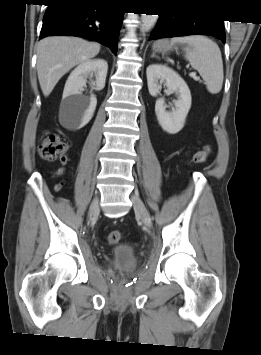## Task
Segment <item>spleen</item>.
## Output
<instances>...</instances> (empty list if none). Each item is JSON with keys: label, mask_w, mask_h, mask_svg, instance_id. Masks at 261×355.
Masks as SVG:
<instances>
[{"label": "spleen", "mask_w": 261, "mask_h": 355, "mask_svg": "<svg viewBox=\"0 0 261 355\" xmlns=\"http://www.w3.org/2000/svg\"><path fill=\"white\" fill-rule=\"evenodd\" d=\"M171 43H187L190 48L185 52V59L197 70L204 80L207 90L217 94L223 84V61L218 45L211 39L201 36L174 37Z\"/></svg>", "instance_id": "obj_1"}]
</instances>
